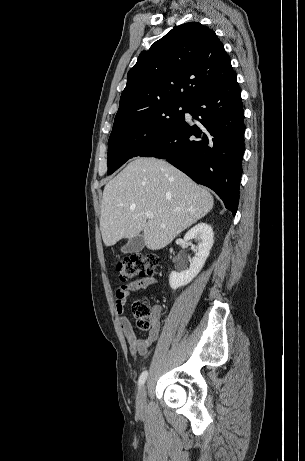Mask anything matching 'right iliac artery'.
I'll return each mask as SVG.
<instances>
[{
    "label": "right iliac artery",
    "instance_id": "1",
    "mask_svg": "<svg viewBox=\"0 0 305 461\" xmlns=\"http://www.w3.org/2000/svg\"><path fill=\"white\" fill-rule=\"evenodd\" d=\"M147 375H148V372H147V371H143V372L141 373V375H140V377H139V380H138V385H139V386H142V385L145 383V381H146V379H147Z\"/></svg>",
    "mask_w": 305,
    "mask_h": 461
}]
</instances>
